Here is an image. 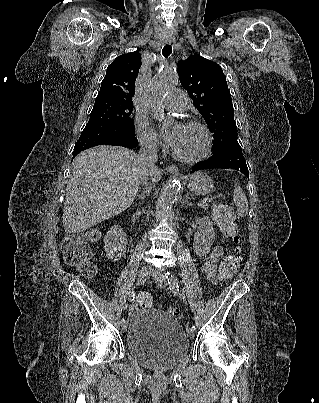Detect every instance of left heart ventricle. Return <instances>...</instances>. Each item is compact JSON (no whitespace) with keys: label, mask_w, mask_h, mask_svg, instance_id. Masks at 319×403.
I'll return each instance as SVG.
<instances>
[{"label":"left heart ventricle","mask_w":319,"mask_h":403,"mask_svg":"<svg viewBox=\"0 0 319 403\" xmlns=\"http://www.w3.org/2000/svg\"><path fill=\"white\" fill-rule=\"evenodd\" d=\"M204 143V136L198 128L182 125L174 150L184 157H195L203 151Z\"/></svg>","instance_id":"obj_1"}]
</instances>
